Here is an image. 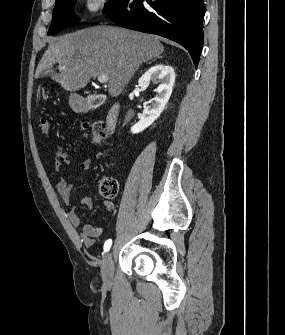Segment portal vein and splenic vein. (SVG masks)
I'll list each match as a JSON object with an SVG mask.
<instances>
[{
    "label": "portal vein and splenic vein",
    "instance_id": "obj_1",
    "mask_svg": "<svg viewBox=\"0 0 285 335\" xmlns=\"http://www.w3.org/2000/svg\"><path fill=\"white\" fill-rule=\"evenodd\" d=\"M97 80H98V82H100V84H106V82H108L109 78H108V76H102V74H99Z\"/></svg>",
    "mask_w": 285,
    "mask_h": 335
}]
</instances>
